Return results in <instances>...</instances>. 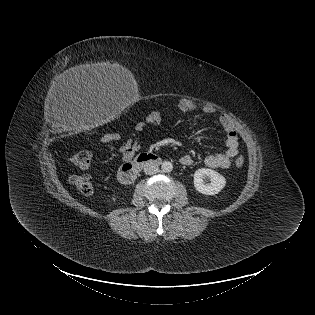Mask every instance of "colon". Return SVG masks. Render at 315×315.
Instances as JSON below:
<instances>
[{"instance_id": "1", "label": "colon", "mask_w": 315, "mask_h": 315, "mask_svg": "<svg viewBox=\"0 0 315 315\" xmlns=\"http://www.w3.org/2000/svg\"><path fill=\"white\" fill-rule=\"evenodd\" d=\"M118 139V134H106L102 138L104 142H112ZM91 160L92 154L88 150L78 151L71 157L72 164L80 169L88 168ZM243 164L244 157L240 155L236 158L235 165L237 167H242ZM70 181L75 186V188L84 195H89L93 192V181L89 175H75L71 177Z\"/></svg>"}]
</instances>
